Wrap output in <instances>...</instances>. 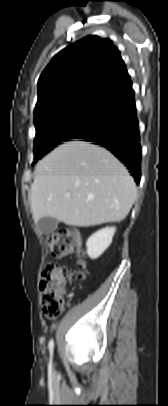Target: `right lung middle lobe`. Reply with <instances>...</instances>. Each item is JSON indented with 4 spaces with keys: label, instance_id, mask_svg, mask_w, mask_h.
I'll use <instances>...</instances> for the list:
<instances>
[{
    "label": "right lung middle lobe",
    "instance_id": "obj_1",
    "mask_svg": "<svg viewBox=\"0 0 168 406\" xmlns=\"http://www.w3.org/2000/svg\"><path fill=\"white\" fill-rule=\"evenodd\" d=\"M106 101L84 100L35 121L34 161L70 139H77L99 125L107 116Z\"/></svg>",
    "mask_w": 168,
    "mask_h": 406
}]
</instances>
